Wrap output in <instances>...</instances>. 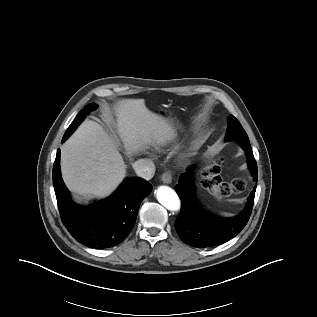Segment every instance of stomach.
<instances>
[{
	"label": "stomach",
	"mask_w": 317,
	"mask_h": 317,
	"mask_svg": "<svg viewBox=\"0 0 317 317\" xmlns=\"http://www.w3.org/2000/svg\"><path fill=\"white\" fill-rule=\"evenodd\" d=\"M159 112L167 122L173 123L175 121V117L172 115V113H169L163 109H160Z\"/></svg>",
	"instance_id": "stomach-1"
}]
</instances>
